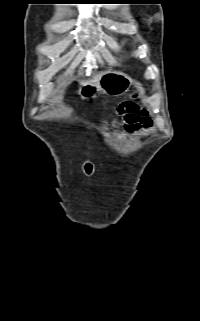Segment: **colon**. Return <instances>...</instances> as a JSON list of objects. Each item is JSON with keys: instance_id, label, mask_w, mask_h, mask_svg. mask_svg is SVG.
I'll use <instances>...</instances> for the list:
<instances>
[{"instance_id": "colon-1", "label": "colon", "mask_w": 200, "mask_h": 321, "mask_svg": "<svg viewBox=\"0 0 200 321\" xmlns=\"http://www.w3.org/2000/svg\"><path fill=\"white\" fill-rule=\"evenodd\" d=\"M119 112H120V113H122V110H121V109H119Z\"/></svg>"}]
</instances>
